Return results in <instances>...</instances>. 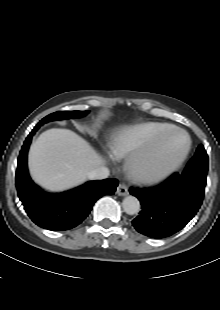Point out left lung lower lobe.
<instances>
[{"instance_id": "obj_1", "label": "left lung lower lobe", "mask_w": 220, "mask_h": 310, "mask_svg": "<svg viewBox=\"0 0 220 310\" xmlns=\"http://www.w3.org/2000/svg\"><path fill=\"white\" fill-rule=\"evenodd\" d=\"M205 185L206 175L175 173L154 188H130L142 205L132 221L134 228L151 238H165L178 232L198 212Z\"/></svg>"}]
</instances>
